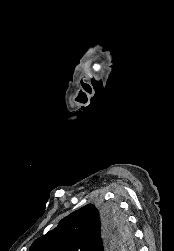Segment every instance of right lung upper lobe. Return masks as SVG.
Returning <instances> with one entry per match:
<instances>
[{"label":"right lung upper lobe","instance_id":"cb5924a9","mask_svg":"<svg viewBox=\"0 0 174 251\" xmlns=\"http://www.w3.org/2000/svg\"><path fill=\"white\" fill-rule=\"evenodd\" d=\"M104 218L100 209L88 204L62 219L54 230L36 239L29 251H104L109 248L101 244ZM122 244L123 237L117 232L110 248L120 250Z\"/></svg>","mask_w":174,"mask_h":251}]
</instances>
